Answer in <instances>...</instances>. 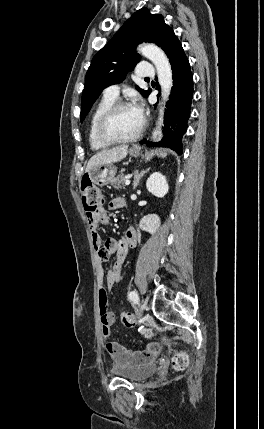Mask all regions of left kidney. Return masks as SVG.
Returning a JSON list of instances; mask_svg holds the SVG:
<instances>
[{
	"instance_id": "1",
	"label": "left kidney",
	"mask_w": 264,
	"mask_h": 429,
	"mask_svg": "<svg viewBox=\"0 0 264 429\" xmlns=\"http://www.w3.org/2000/svg\"><path fill=\"white\" fill-rule=\"evenodd\" d=\"M147 190L158 198L164 197L169 190L166 177L160 172L152 173L146 182ZM141 230L155 233L160 227V218L156 214H149L144 216L139 223Z\"/></svg>"
}]
</instances>
